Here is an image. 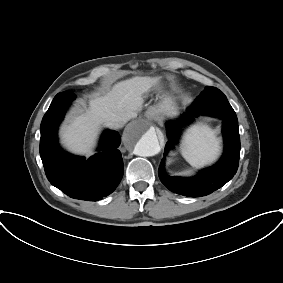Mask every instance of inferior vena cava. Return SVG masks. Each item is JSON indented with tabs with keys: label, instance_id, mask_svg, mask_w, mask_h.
<instances>
[{
	"label": "inferior vena cava",
	"instance_id": "602c4592",
	"mask_svg": "<svg viewBox=\"0 0 283 283\" xmlns=\"http://www.w3.org/2000/svg\"><path fill=\"white\" fill-rule=\"evenodd\" d=\"M124 124L125 123L123 122L115 121V122H109L108 126L113 129H119V128H122Z\"/></svg>",
	"mask_w": 283,
	"mask_h": 283
}]
</instances>
